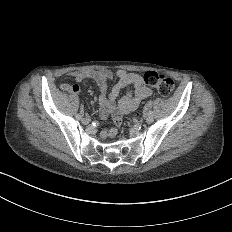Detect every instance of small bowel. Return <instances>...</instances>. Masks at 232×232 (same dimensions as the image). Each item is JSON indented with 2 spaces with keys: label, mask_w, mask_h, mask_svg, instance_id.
I'll use <instances>...</instances> for the list:
<instances>
[{
  "label": "small bowel",
  "mask_w": 232,
  "mask_h": 232,
  "mask_svg": "<svg viewBox=\"0 0 232 232\" xmlns=\"http://www.w3.org/2000/svg\"><path fill=\"white\" fill-rule=\"evenodd\" d=\"M65 75L72 77L74 83L66 82L61 87L71 93H78L80 91V84L84 80H94L101 92L100 102L102 107L100 109V116L107 118L110 113H114L116 122L120 121L122 115L135 110L142 99L155 96V92L146 87L141 75L128 72L125 69L117 70L119 81L113 85L109 95H107L108 82L112 78V71L110 69L67 70ZM129 86L135 88V93L119 97L120 91ZM116 132L115 128L104 129L101 136L103 138L112 137Z\"/></svg>",
  "instance_id": "small-bowel-1"
}]
</instances>
